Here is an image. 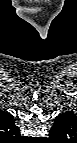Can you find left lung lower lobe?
<instances>
[{
	"instance_id": "obj_1",
	"label": "left lung lower lobe",
	"mask_w": 77,
	"mask_h": 143,
	"mask_svg": "<svg viewBox=\"0 0 77 143\" xmlns=\"http://www.w3.org/2000/svg\"><path fill=\"white\" fill-rule=\"evenodd\" d=\"M72 116V113L71 112H65L61 115H59L55 121H62V120H65V119H69L70 117ZM57 135H53L51 132H50V137H55Z\"/></svg>"
}]
</instances>
